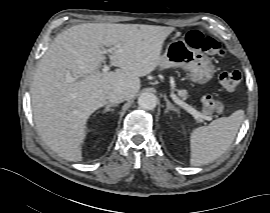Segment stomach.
<instances>
[{
  "label": "stomach",
  "mask_w": 270,
  "mask_h": 213,
  "mask_svg": "<svg viewBox=\"0 0 270 213\" xmlns=\"http://www.w3.org/2000/svg\"><path fill=\"white\" fill-rule=\"evenodd\" d=\"M159 65L163 68L181 67L189 72L191 81L198 84H206L214 75L210 58L188 46L184 39H174L167 45Z\"/></svg>",
  "instance_id": "1"
}]
</instances>
